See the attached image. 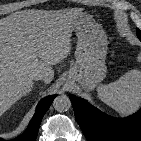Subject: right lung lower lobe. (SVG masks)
Here are the masks:
<instances>
[{"mask_svg":"<svg viewBox=\"0 0 141 141\" xmlns=\"http://www.w3.org/2000/svg\"><path fill=\"white\" fill-rule=\"evenodd\" d=\"M55 97L56 95L47 96L39 102L35 115L32 118L31 122L29 123V126L26 129V131L21 136H19L18 138L12 141H35L41 120ZM0 141H5V140L0 139Z\"/></svg>","mask_w":141,"mask_h":141,"instance_id":"98d812e1","label":"right lung lower lobe"}]
</instances>
